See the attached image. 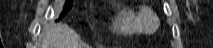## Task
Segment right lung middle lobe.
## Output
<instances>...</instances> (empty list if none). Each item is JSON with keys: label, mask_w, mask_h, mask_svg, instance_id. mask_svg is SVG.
<instances>
[{"label": "right lung middle lobe", "mask_w": 213, "mask_h": 48, "mask_svg": "<svg viewBox=\"0 0 213 48\" xmlns=\"http://www.w3.org/2000/svg\"><path fill=\"white\" fill-rule=\"evenodd\" d=\"M73 5V1H66L65 5H64V9L60 15V18H62L64 15H66V13L71 9Z\"/></svg>", "instance_id": "right-lung-middle-lobe-1"}]
</instances>
